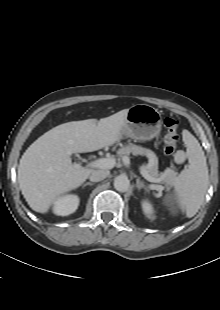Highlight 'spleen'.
I'll list each match as a JSON object with an SVG mask.
<instances>
[{"label":"spleen","mask_w":220,"mask_h":310,"mask_svg":"<svg viewBox=\"0 0 220 310\" xmlns=\"http://www.w3.org/2000/svg\"><path fill=\"white\" fill-rule=\"evenodd\" d=\"M182 135L189 166L176 177L174 188L182 211L191 218L204 200L209 176L206 157L198 140L187 130H183Z\"/></svg>","instance_id":"1"}]
</instances>
